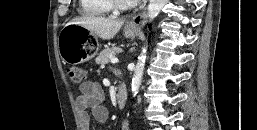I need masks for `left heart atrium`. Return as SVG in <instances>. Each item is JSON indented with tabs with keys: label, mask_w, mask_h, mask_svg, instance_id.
<instances>
[{
	"label": "left heart atrium",
	"mask_w": 257,
	"mask_h": 130,
	"mask_svg": "<svg viewBox=\"0 0 257 130\" xmlns=\"http://www.w3.org/2000/svg\"><path fill=\"white\" fill-rule=\"evenodd\" d=\"M134 3H138L140 1H143V0H132Z\"/></svg>",
	"instance_id": "left-heart-atrium-1"
}]
</instances>
